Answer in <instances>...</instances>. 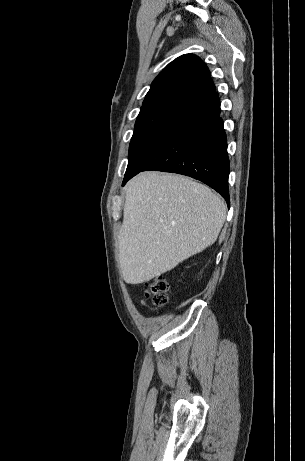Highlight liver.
Returning a JSON list of instances; mask_svg holds the SVG:
<instances>
[{"label": "liver", "mask_w": 305, "mask_h": 461, "mask_svg": "<svg viewBox=\"0 0 305 461\" xmlns=\"http://www.w3.org/2000/svg\"><path fill=\"white\" fill-rule=\"evenodd\" d=\"M226 211L218 195L190 178L153 171L134 177L118 235L124 281H149L211 246Z\"/></svg>", "instance_id": "6515ba94"}]
</instances>
